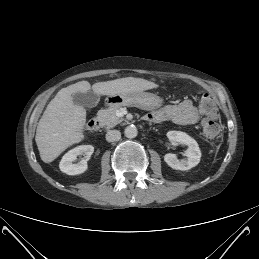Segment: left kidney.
Instances as JSON below:
<instances>
[{
    "label": "left kidney",
    "instance_id": "obj_1",
    "mask_svg": "<svg viewBox=\"0 0 259 259\" xmlns=\"http://www.w3.org/2000/svg\"><path fill=\"white\" fill-rule=\"evenodd\" d=\"M167 137L170 141L178 142L188 146L185 151L187 160H179L175 154L168 153L164 156V161L173 169L176 170H189L200 162L201 151L198 143L185 132L181 131H169Z\"/></svg>",
    "mask_w": 259,
    "mask_h": 259
}]
</instances>
